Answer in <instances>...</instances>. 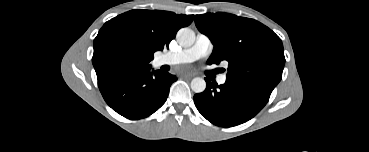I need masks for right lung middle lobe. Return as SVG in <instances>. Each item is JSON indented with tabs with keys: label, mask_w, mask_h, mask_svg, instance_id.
<instances>
[{
	"label": "right lung middle lobe",
	"mask_w": 369,
	"mask_h": 152,
	"mask_svg": "<svg viewBox=\"0 0 369 152\" xmlns=\"http://www.w3.org/2000/svg\"><path fill=\"white\" fill-rule=\"evenodd\" d=\"M140 66L135 56L130 53L121 52L111 56L102 64V74L113 77L120 73L139 69Z\"/></svg>",
	"instance_id": "dd1d6c3e"
}]
</instances>
